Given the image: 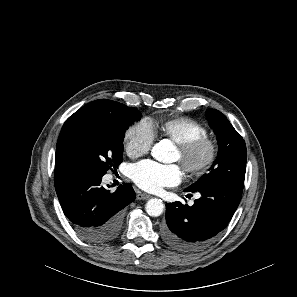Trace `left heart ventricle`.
I'll return each instance as SVG.
<instances>
[{
  "label": "left heart ventricle",
  "mask_w": 297,
  "mask_h": 297,
  "mask_svg": "<svg viewBox=\"0 0 297 297\" xmlns=\"http://www.w3.org/2000/svg\"><path fill=\"white\" fill-rule=\"evenodd\" d=\"M203 158H204V154L201 153L200 155H198V157L196 158V160L198 162H200V161L203 160ZM175 160H180V153H179V151L176 152Z\"/></svg>",
  "instance_id": "obj_1"
}]
</instances>
